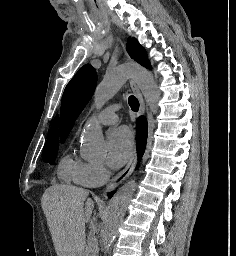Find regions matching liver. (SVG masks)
Here are the masks:
<instances>
[{
    "mask_svg": "<svg viewBox=\"0 0 236 256\" xmlns=\"http://www.w3.org/2000/svg\"><path fill=\"white\" fill-rule=\"evenodd\" d=\"M88 194L83 188L64 184L45 190L41 204L57 256H83L85 224L94 210V202Z\"/></svg>",
    "mask_w": 236,
    "mask_h": 256,
    "instance_id": "1",
    "label": "liver"
}]
</instances>
